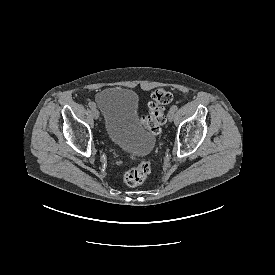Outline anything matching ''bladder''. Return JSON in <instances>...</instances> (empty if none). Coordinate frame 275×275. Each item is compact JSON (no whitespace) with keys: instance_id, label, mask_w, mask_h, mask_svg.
<instances>
[{"instance_id":"obj_1","label":"bladder","mask_w":275,"mask_h":275,"mask_svg":"<svg viewBox=\"0 0 275 275\" xmlns=\"http://www.w3.org/2000/svg\"><path fill=\"white\" fill-rule=\"evenodd\" d=\"M102 111L108 139L134 155L146 154L155 145L153 135L141 124L136 93L128 88L111 87L95 98Z\"/></svg>"}]
</instances>
